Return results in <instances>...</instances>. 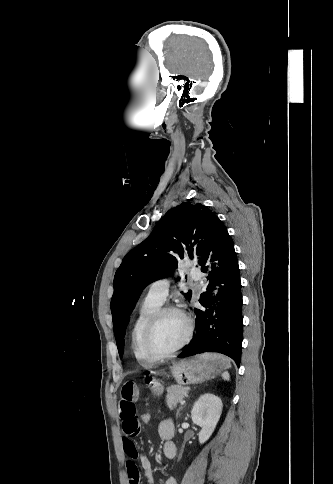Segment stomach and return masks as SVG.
I'll list each match as a JSON object with an SVG mask.
<instances>
[{"label": "stomach", "mask_w": 333, "mask_h": 484, "mask_svg": "<svg viewBox=\"0 0 333 484\" xmlns=\"http://www.w3.org/2000/svg\"><path fill=\"white\" fill-rule=\"evenodd\" d=\"M230 365L229 359L215 353H204L182 359L170 367V373L178 385L202 383L214 378ZM158 372L150 371L146 378L147 387L155 394H161L163 387L156 379Z\"/></svg>", "instance_id": "stomach-1"}]
</instances>
